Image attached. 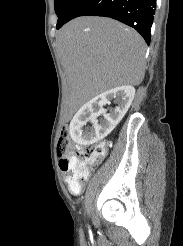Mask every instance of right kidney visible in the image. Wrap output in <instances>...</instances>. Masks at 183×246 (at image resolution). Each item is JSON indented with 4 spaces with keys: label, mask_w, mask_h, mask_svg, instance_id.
Wrapping results in <instances>:
<instances>
[{
    "label": "right kidney",
    "mask_w": 183,
    "mask_h": 246,
    "mask_svg": "<svg viewBox=\"0 0 183 246\" xmlns=\"http://www.w3.org/2000/svg\"><path fill=\"white\" fill-rule=\"evenodd\" d=\"M135 95L133 86H120L94 97L83 105L73 117L69 133L74 142L80 145H90L110 134L128 111ZM116 103L115 108L109 113L103 108L110 101ZM103 116L100 122L98 117ZM87 122L92 123V127L83 130Z\"/></svg>",
    "instance_id": "1"
}]
</instances>
